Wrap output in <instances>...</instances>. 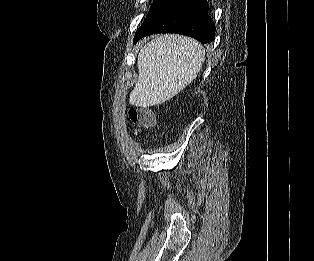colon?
I'll list each match as a JSON object with an SVG mask.
<instances>
[{"label":"colon","mask_w":314,"mask_h":261,"mask_svg":"<svg viewBox=\"0 0 314 261\" xmlns=\"http://www.w3.org/2000/svg\"><path fill=\"white\" fill-rule=\"evenodd\" d=\"M130 121L140 130H147L154 126L155 115L147 107L131 108L128 111Z\"/></svg>","instance_id":"obj_1"}]
</instances>
